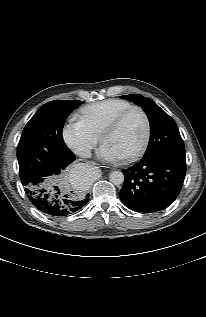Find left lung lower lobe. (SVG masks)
I'll return each mask as SVG.
<instances>
[{
    "mask_svg": "<svg viewBox=\"0 0 206 317\" xmlns=\"http://www.w3.org/2000/svg\"><path fill=\"white\" fill-rule=\"evenodd\" d=\"M125 180L120 199L128 208L152 213L167 208L179 195L186 174L185 158L143 157L122 171Z\"/></svg>",
    "mask_w": 206,
    "mask_h": 317,
    "instance_id": "left-lung-lower-lobe-1",
    "label": "left lung lower lobe"
}]
</instances>
